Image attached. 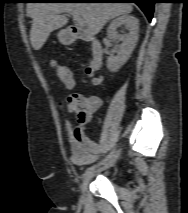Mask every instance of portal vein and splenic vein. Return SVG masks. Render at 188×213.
Masks as SVG:
<instances>
[{"label":"portal vein and splenic vein","instance_id":"1","mask_svg":"<svg viewBox=\"0 0 188 213\" xmlns=\"http://www.w3.org/2000/svg\"><path fill=\"white\" fill-rule=\"evenodd\" d=\"M73 19L77 23V25H79V26H84L85 25L84 19L81 18L80 16L73 15Z\"/></svg>","mask_w":188,"mask_h":213}]
</instances>
